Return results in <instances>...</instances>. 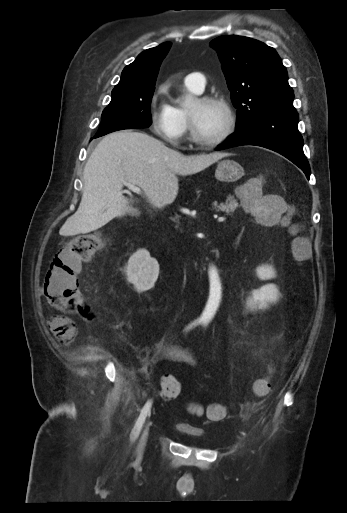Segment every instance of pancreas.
Here are the masks:
<instances>
[{
  "label": "pancreas",
  "mask_w": 347,
  "mask_h": 513,
  "mask_svg": "<svg viewBox=\"0 0 347 513\" xmlns=\"http://www.w3.org/2000/svg\"><path fill=\"white\" fill-rule=\"evenodd\" d=\"M239 207L237 200L233 196H228L226 202L213 204V209L217 212H225L229 216H233L235 210Z\"/></svg>",
  "instance_id": "cf45deb5"
}]
</instances>
